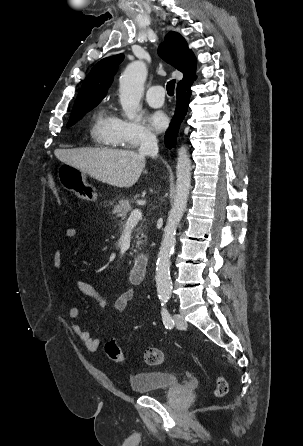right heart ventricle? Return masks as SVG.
Instances as JSON below:
<instances>
[{
  "mask_svg": "<svg viewBox=\"0 0 303 446\" xmlns=\"http://www.w3.org/2000/svg\"><path fill=\"white\" fill-rule=\"evenodd\" d=\"M118 118L107 108L98 111L92 120L90 137L100 147H117L120 145L117 136Z\"/></svg>",
  "mask_w": 303,
  "mask_h": 446,
  "instance_id": "right-heart-ventricle-1",
  "label": "right heart ventricle"
}]
</instances>
